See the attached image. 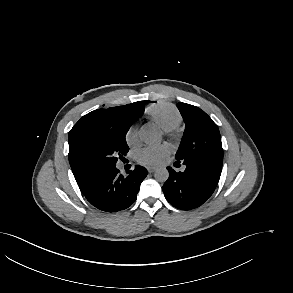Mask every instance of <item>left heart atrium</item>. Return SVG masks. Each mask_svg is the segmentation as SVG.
Instances as JSON below:
<instances>
[{
	"label": "left heart atrium",
	"mask_w": 293,
	"mask_h": 293,
	"mask_svg": "<svg viewBox=\"0 0 293 293\" xmlns=\"http://www.w3.org/2000/svg\"><path fill=\"white\" fill-rule=\"evenodd\" d=\"M170 151L168 145L147 146L139 150L137 160L144 165L155 166L160 164L170 154Z\"/></svg>",
	"instance_id": "1"
}]
</instances>
